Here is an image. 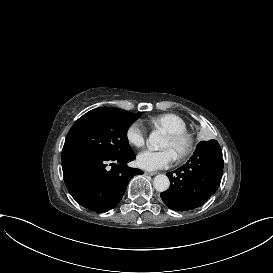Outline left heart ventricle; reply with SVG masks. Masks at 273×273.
Masks as SVG:
<instances>
[{"mask_svg":"<svg viewBox=\"0 0 273 273\" xmlns=\"http://www.w3.org/2000/svg\"><path fill=\"white\" fill-rule=\"evenodd\" d=\"M162 146L170 148L174 152V154H177L182 146V143L179 141L171 140L166 136Z\"/></svg>","mask_w":273,"mask_h":273,"instance_id":"left-heart-ventricle-1","label":"left heart ventricle"}]
</instances>
